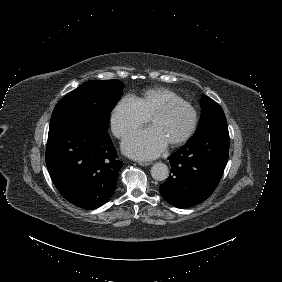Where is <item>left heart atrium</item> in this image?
<instances>
[{
	"mask_svg": "<svg viewBox=\"0 0 282 282\" xmlns=\"http://www.w3.org/2000/svg\"><path fill=\"white\" fill-rule=\"evenodd\" d=\"M167 140L161 131L151 126L130 134L123 143L126 153L134 158L149 159L158 156L166 147Z\"/></svg>",
	"mask_w": 282,
	"mask_h": 282,
	"instance_id": "39dd6f15",
	"label": "left heart atrium"
}]
</instances>
